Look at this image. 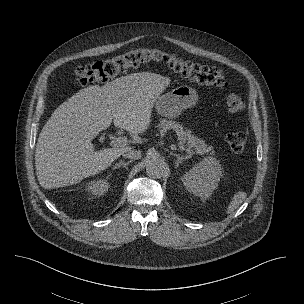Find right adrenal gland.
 Instances as JSON below:
<instances>
[{
	"mask_svg": "<svg viewBox=\"0 0 304 304\" xmlns=\"http://www.w3.org/2000/svg\"><path fill=\"white\" fill-rule=\"evenodd\" d=\"M132 162V160L128 161V162H124L122 160L119 161V163H117L114 166V169L120 168V167H124L125 169H127V166Z\"/></svg>",
	"mask_w": 304,
	"mask_h": 304,
	"instance_id": "obj_1",
	"label": "right adrenal gland"
}]
</instances>
